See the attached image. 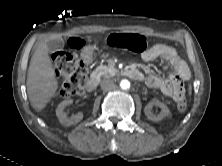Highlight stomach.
<instances>
[{"label":"stomach","instance_id":"1","mask_svg":"<svg viewBox=\"0 0 222 166\" xmlns=\"http://www.w3.org/2000/svg\"><path fill=\"white\" fill-rule=\"evenodd\" d=\"M92 51H93V48H92V47H89V48L87 49V54H91Z\"/></svg>","mask_w":222,"mask_h":166}]
</instances>
